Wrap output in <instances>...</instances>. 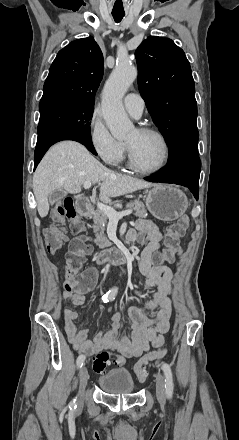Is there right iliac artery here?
I'll use <instances>...</instances> for the list:
<instances>
[{"instance_id": "obj_1", "label": "right iliac artery", "mask_w": 239, "mask_h": 440, "mask_svg": "<svg viewBox=\"0 0 239 440\" xmlns=\"http://www.w3.org/2000/svg\"><path fill=\"white\" fill-rule=\"evenodd\" d=\"M117 291H118L117 288H112L102 297V301L104 303L113 301L116 297ZM85 358H86L85 355H79V357L76 360V365L78 368H81L83 366ZM69 407L70 409L76 408L75 400L69 404Z\"/></svg>"}]
</instances>
